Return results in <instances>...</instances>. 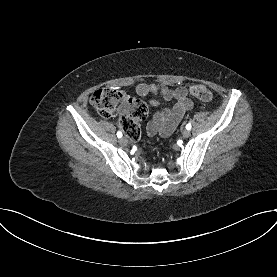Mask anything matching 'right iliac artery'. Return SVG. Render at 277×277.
<instances>
[{
	"label": "right iliac artery",
	"instance_id": "82829eb1",
	"mask_svg": "<svg viewBox=\"0 0 277 277\" xmlns=\"http://www.w3.org/2000/svg\"><path fill=\"white\" fill-rule=\"evenodd\" d=\"M117 137L121 138L122 137V133L121 132H117Z\"/></svg>",
	"mask_w": 277,
	"mask_h": 277
}]
</instances>
